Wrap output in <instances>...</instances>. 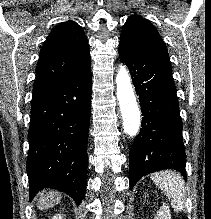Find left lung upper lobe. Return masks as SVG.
Instances as JSON below:
<instances>
[{"mask_svg": "<svg viewBox=\"0 0 211 219\" xmlns=\"http://www.w3.org/2000/svg\"><path fill=\"white\" fill-rule=\"evenodd\" d=\"M120 42L134 49L167 53L164 41L155 27L140 16H130L124 24Z\"/></svg>", "mask_w": 211, "mask_h": 219, "instance_id": "left-lung-upper-lobe-1", "label": "left lung upper lobe"}]
</instances>
